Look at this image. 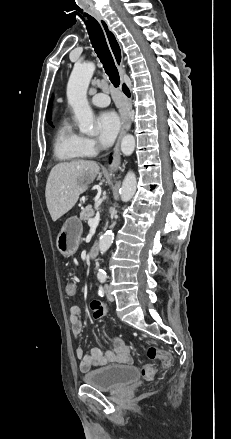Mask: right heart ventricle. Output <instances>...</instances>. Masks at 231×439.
Listing matches in <instances>:
<instances>
[{
  "label": "right heart ventricle",
  "mask_w": 231,
  "mask_h": 439,
  "mask_svg": "<svg viewBox=\"0 0 231 439\" xmlns=\"http://www.w3.org/2000/svg\"><path fill=\"white\" fill-rule=\"evenodd\" d=\"M54 154L61 161H76L85 156L81 147V136L67 121L60 125L56 133Z\"/></svg>",
  "instance_id": "obj_1"
}]
</instances>
